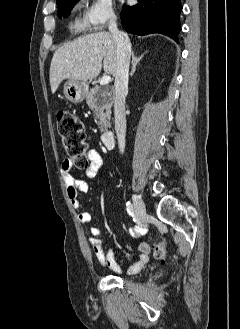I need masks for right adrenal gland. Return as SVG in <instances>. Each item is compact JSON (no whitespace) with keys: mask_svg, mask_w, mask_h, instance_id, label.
<instances>
[{"mask_svg":"<svg viewBox=\"0 0 240 329\" xmlns=\"http://www.w3.org/2000/svg\"><path fill=\"white\" fill-rule=\"evenodd\" d=\"M144 54H145V53H144ZM144 54H142V55L139 56V57H136V56L134 55V53H132V68H131L130 76H133V74H134V72H135V70H136V65L139 63V61L141 60V58L143 57Z\"/></svg>","mask_w":240,"mask_h":329,"instance_id":"2a0ac1e0","label":"right adrenal gland"}]
</instances>
